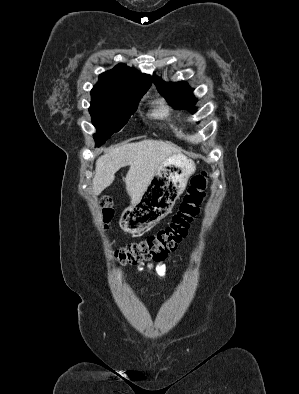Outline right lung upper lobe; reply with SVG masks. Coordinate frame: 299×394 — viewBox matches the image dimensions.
<instances>
[{
	"mask_svg": "<svg viewBox=\"0 0 299 394\" xmlns=\"http://www.w3.org/2000/svg\"><path fill=\"white\" fill-rule=\"evenodd\" d=\"M151 84V76L119 64L99 76V82L93 87L91 94L99 95L119 91L145 94Z\"/></svg>",
	"mask_w": 299,
	"mask_h": 394,
	"instance_id": "obj_1",
	"label": "right lung upper lobe"
}]
</instances>
